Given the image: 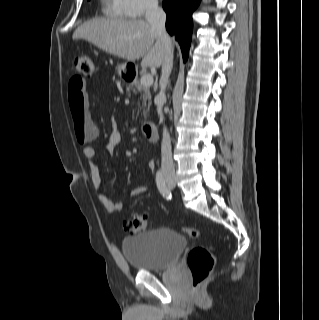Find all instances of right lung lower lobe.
I'll return each mask as SVG.
<instances>
[{"label": "right lung lower lobe", "mask_w": 319, "mask_h": 320, "mask_svg": "<svg viewBox=\"0 0 319 320\" xmlns=\"http://www.w3.org/2000/svg\"><path fill=\"white\" fill-rule=\"evenodd\" d=\"M200 0H163V9L167 14L166 29L176 34L185 62L191 42L193 21L192 13L198 7Z\"/></svg>", "instance_id": "right-lung-lower-lobe-1"}]
</instances>
